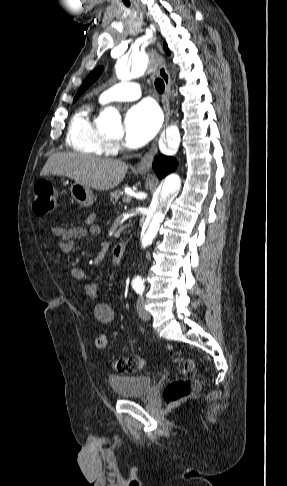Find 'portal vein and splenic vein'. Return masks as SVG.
<instances>
[{
  "label": "portal vein and splenic vein",
  "mask_w": 287,
  "mask_h": 486,
  "mask_svg": "<svg viewBox=\"0 0 287 486\" xmlns=\"http://www.w3.org/2000/svg\"><path fill=\"white\" fill-rule=\"evenodd\" d=\"M130 200H131V199H130V197H126V198H124V199H123V202H124V203H129V202H130Z\"/></svg>",
  "instance_id": "obj_1"
}]
</instances>
